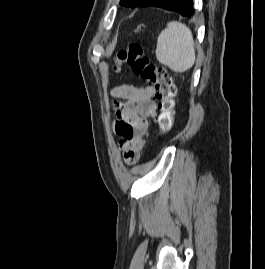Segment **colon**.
I'll return each instance as SVG.
<instances>
[{"instance_id":"1","label":"colon","mask_w":265,"mask_h":269,"mask_svg":"<svg viewBox=\"0 0 265 269\" xmlns=\"http://www.w3.org/2000/svg\"><path fill=\"white\" fill-rule=\"evenodd\" d=\"M124 64L129 65L141 80L154 87L157 100L155 114L157 134L167 133L173 126L176 103V86L171 74L165 68L151 62L149 57L144 55L142 47L138 43H131L127 48L118 52L114 69L118 71ZM116 129L120 136L127 139L134 137L135 129L124 121H121Z\"/></svg>"}]
</instances>
